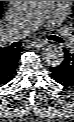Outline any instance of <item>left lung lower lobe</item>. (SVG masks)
<instances>
[{"label": "left lung lower lobe", "instance_id": "1", "mask_svg": "<svg viewBox=\"0 0 74 122\" xmlns=\"http://www.w3.org/2000/svg\"><path fill=\"white\" fill-rule=\"evenodd\" d=\"M50 71L59 84L74 87V50H64V60L59 66L51 67Z\"/></svg>", "mask_w": 74, "mask_h": 122}]
</instances>
